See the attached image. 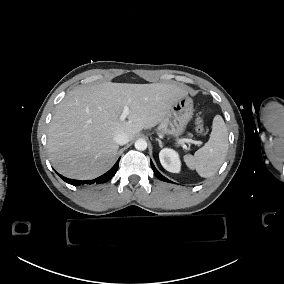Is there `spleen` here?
I'll return each mask as SVG.
<instances>
[{
	"label": "spleen",
	"instance_id": "obj_1",
	"mask_svg": "<svg viewBox=\"0 0 284 284\" xmlns=\"http://www.w3.org/2000/svg\"><path fill=\"white\" fill-rule=\"evenodd\" d=\"M229 148L228 130L221 115L213 119L208 142L193 155H185L184 161L190 169H196L201 177L213 176L223 164Z\"/></svg>",
	"mask_w": 284,
	"mask_h": 284
}]
</instances>
